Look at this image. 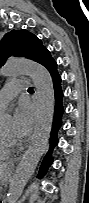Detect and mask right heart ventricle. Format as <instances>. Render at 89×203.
Listing matches in <instances>:
<instances>
[{
  "label": "right heart ventricle",
  "mask_w": 89,
  "mask_h": 203,
  "mask_svg": "<svg viewBox=\"0 0 89 203\" xmlns=\"http://www.w3.org/2000/svg\"><path fill=\"white\" fill-rule=\"evenodd\" d=\"M10 150L7 148L2 135H0V160H6L10 156Z\"/></svg>",
  "instance_id": "e07e8e85"
}]
</instances>
